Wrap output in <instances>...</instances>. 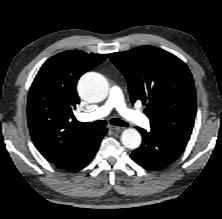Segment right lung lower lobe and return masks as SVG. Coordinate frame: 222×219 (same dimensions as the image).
Returning <instances> with one entry per match:
<instances>
[{"mask_svg":"<svg viewBox=\"0 0 222 219\" xmlns=\"http://www.w3.org/2000/svg\"><path fill=\"white\" fill-rule=\"evenodd\" d=\"M106 133V128L95 130L91 137L85 142L84 146L79 151L76 158L72 161L69 166L65 168V170L75 171L86 165L95 156L99 148L100 142L106 135Z\"/></svg>","mask_w":222,"mask_h":219,"instance_id":"obj_1","label":"right lung lower lobe"}]
</instances>
